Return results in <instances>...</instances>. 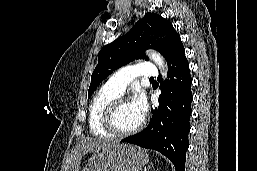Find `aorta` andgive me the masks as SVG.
Instances as JSON below:
<instances>
[{"label": "aorta", "mask_w": 257, "mask_h": 171, "mask_svg": "<svg viewBox=\"0 0 257 171\" xmlns=\"http://www.w3.org/2000/svg\"><path fill=\"white\" fill-rule=\"evenodd\" d=\"M148 56L159 67L163 76H165L166 75V64H165L163 57L156 51H149Z\"/></svg>", "instance_id": "1"}]
</instances>
